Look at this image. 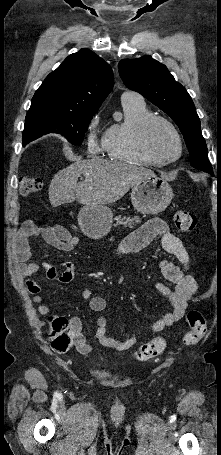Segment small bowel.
<instances>
[{
    "label": "small bowel",
    "instance_id": "1",
    "mask_svg": "<svg viewBox=\"0 0 221 455\" xmlns=\"http://www.w3.org/2000/svg\"><path fill=\"white\" fill-rule=\"evenodd\" d=\"M31 237H41L48 245L61 252L72 251L78 245L79 238L73 235L66 227L59 224L44 226L36 225L32 221H26L20 227L19 239L16 245L17 258L22 267V275L25 278H29L40 269H44L50 279L57 280L61 283L71 282L74 276L71 263H64L65 270L59 274L56 268L50 264H39L30 261L31 251L28 240ZM155 239L159 241L166 252L177 258L180 266L165 259L159 262V268L163 277L172 286L170 287L162 282H157L156 288L169 300L172 309L152 325L151 332L153 333L160 332L184 318L187 312L188 301L197 291L195 279L188 274L190 256L187 250L183 246L182 241L160 219L150 220L144 226L129 234L117 248L113 257V265L116 266L124 255L140 251ZM27 286L33 294L32 300L37 305L38 312L42 315H49L51 309L45 304L43 297L40 295V285L33 280H29ZM81 295L84 299L89 300L91 310L98 315V327L93 335L94 339L99 341L103 346L116 351L128 350L137 344L139 338L136 336L125 339L107 336L106 319L102 315L106 307L105 300L101 296L96 295L95 291L91 289L83 290ZM71 327L75 333L77 350L82 354L89 353L92 348L81 332L82 323L80 319L76 317L72 318Z\"/></svg>",
    "mask_w": 221,
    "mask_h": 455
}]
</instances>
